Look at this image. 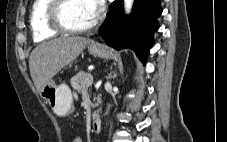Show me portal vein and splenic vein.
<instances>
[{
    "label": "portal vein and splenic vein",
    "instance_id": "obj_1",
    "mask_svg": "<svg viewBox=\"0 0 227 142\" xmlns=\"http://www.w3.org/2000/svg\"><path fill=\"white\" fill-rule=\"evenodd\" d=\"M87 84H88V86L93 84V76L91 74H88Z\"/></svg>",
    "mask_w": 227,
    "mask_h": 142
}]
</instances>
